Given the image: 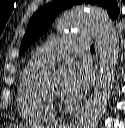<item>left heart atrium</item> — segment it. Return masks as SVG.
I'll return each instance as SVG.
<instances>
[{"instance_id":"1","label":"left heart atrium","mask_w":125,"mask_h":128,"mask_svg":"<svg viewBox=\"0 0 125 128\" xmlns=\"http://www.w3.org/2000/svg\"><path fill=\"white\" fill-rule=\"evenodd\" d=\"M92 73L88 66L70 62L60 72L58 96L67 103L79 101L88 91Z\"/></svg>"}]
</instances>
